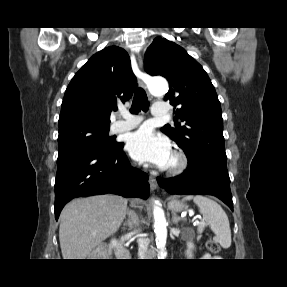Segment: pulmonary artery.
<instances>
[{"mask_svg": "<svg viewBox=\"0 0 287 287\" xmlns=\"http://www.w3.org/2000/svg\"><path fill=\"white\" fill-rule=\"evenodd\" d=\"M168 114V108L165 104L155 103L152 107V115L163 117ZM122 120H117L113 123L112 130L115 133L124 132L135 128L142 122V117L131 115L126 111H120Z\"/></svg>", "mask_w": 287, "mask_h": 287, "instance_id": "pulmonary-artery-1", "label": "pulmonary artery"}]
</instances>
